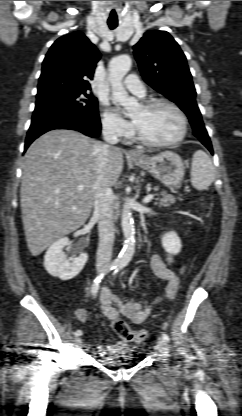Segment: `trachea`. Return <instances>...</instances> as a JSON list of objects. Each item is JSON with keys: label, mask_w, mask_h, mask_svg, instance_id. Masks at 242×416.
<instances>
[{"label": "trachea", "mask_w": 242, "mask_h": 416, "mask_svg": "<svg viewBox=\"0 0 242 416\" xmlns=\"http://www.w3.org/2000/svg\"><path fill=\"white\" fill-rule=\"evenodd\" d=\"M118 23H112V22H108V26L111 30L115 29L117 27Z\"/></svg>", "instance_id": "3493384b"}]
</instances>
